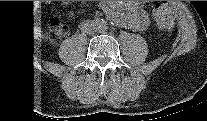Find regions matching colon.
<instances>
[{
    "label": "colon",
    "mask_w": 207,
    "mask_h": 121,
    "mask_svg": "<svg viewBox=\"0 0 207 121\" xmlns=\"http://www.w3.org/2000/svg\"><path fill=\"white\" fill-rule=\"evenodd\" d=\"M153 15L158 27L162 30L170 31L174 28L173 11L167 2L156 4Z\"/></svg>",
    "instance_id": "5ec220e1"
}]
</instances>
